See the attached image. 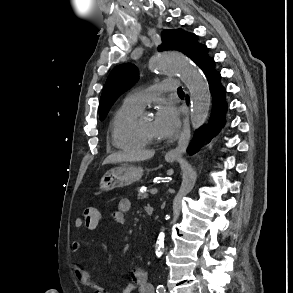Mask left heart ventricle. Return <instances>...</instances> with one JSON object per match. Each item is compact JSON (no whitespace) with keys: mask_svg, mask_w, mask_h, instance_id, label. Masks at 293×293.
I'll return each instance as SVG.
<instances>
[{"mask_svg":"<svg viewBox=\"0 0 293 293\" xmlns=\"http://www.w3.org/2000/svg\"><path fill=\"white\" fill-rule=\"evenodd\" d=\"M139 126L147 135L159 140L160 135L156 130L155 118L153 116L142 119Z\"/></svg>","mask_w":293,"mask_h":293,"instance_id":"1","label":"left heart ventricle"}]
</instances>
